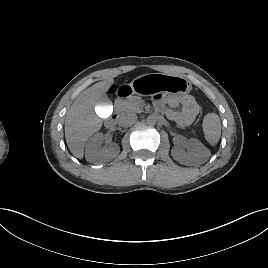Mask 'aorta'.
<instances>
[{
	"label": "aorta",
	"mask_w": 268,
	"mask_h": 268,
	"mask_svg": "<svg viewBox=\"0 0 268 268\" xmlns=\"http://www.w3.org/2000/svg\"><path fill=\"white\" fill-rule=\"evenodd\" d=\"M157 122V117L155 115H149L146 119V123L150 126H154Z\"/></svg>",
	"instance_id": "aorta-1"
}]
</instances>
